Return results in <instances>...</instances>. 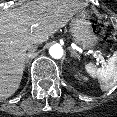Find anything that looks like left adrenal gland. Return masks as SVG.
Listing matches in <instances>:
<instances>
[{
	"instance_id": "obj_1",
	"label": "left adrenal gland",
	"mask_w": 117,
	"mask_h": 117,
	"mask_svg": "<svg viewBox=\"0 0 117 117\" xmlns=\"http://www.w3.org/2000/svg\"><path fill=\"white\" fill-rule=\"evenodd\" d=\"M71 55H72L73 58H76L80 61V57L77 55V53L75 51L72 50Z\"/></svg>"
}]
</instances>
